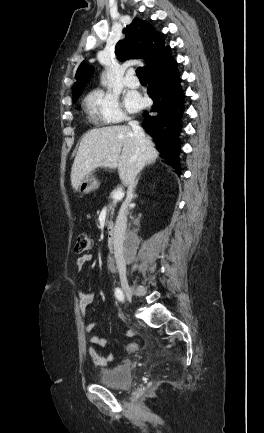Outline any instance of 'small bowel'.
I'll list each match as a JSON object with an SVG mask.
<instances>
[{
  "label": "small bowel",
  "mask_w": 264,
  "mask_h": 433,
  "mask_svg": "<svg viewBox=\"0 0 264 433\" xmlns=\"http://www.w3.org/2000/svg\"><path fill=\"white\" fill-rule=\"evenodd\" d=\"M92 260L91 254H85L83 256H80L77 261V269L80 271L85 266L86 263ZM78 299H79V310L82 315V317L85 316L86 310L90 304L94 301V294L88 293V292H82L78 291ZM96 328V323H85L84 324V330L88 334H92L93 331ZM127 336H131V332L127 331L125 333ZM90 342L94 347H91L88 350L89 356L91 357L93 363L98 366H105L108 363L112 362L114 360L113 354H108L107 356H101L97 352L95 347H104L107 344V340L104 337L97 336V335H91Z\"/></svg>",
  "instance_id": "1"
}]
</instances>
